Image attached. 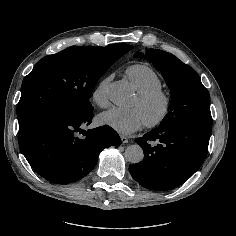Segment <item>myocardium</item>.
<instances>
[{"mask_svg": "<svg viewBox=\"0 0 236 236\" xmlns=\"http://www.w3.org/2000/svg\"><path fill=\"white\" fill-rule=\"evenodd\" d=\"M137 100L142 106H150L156 103L161 106L160 113L155 118L146 122V127L149 129L162 125L171 114L173 107L172 96L169 92L163 89H158L147 93H139L137 95Z\"/></svg>", "mask_w": 236, "mask_h": 236, "instance_id": "myocardium-1", "label": "myocardium"}]
</instances>
